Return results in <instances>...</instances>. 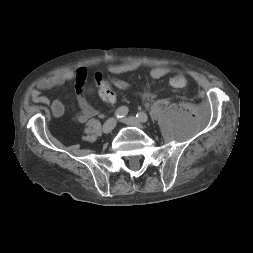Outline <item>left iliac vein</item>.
<instances>
[{
    "mask_svg": "<svg viewBox=\"0 0 253 253\" xmlns=\"http://www.w3.org/2000/svg\"><path fill=\"white\" fill-rule=\"evenodd\" d=\"M147 120H148V116H147ZM124 121L129 126L143 128L142 122L140 120H138L136 117L130 116V117L124 118Z\"/></svg>",
    "mask_w": 253,
    "mask_h": 253,
    "instance_id": "left-iliac-vein-1",
    "label": "left iliac vein"
}]
</instances>
